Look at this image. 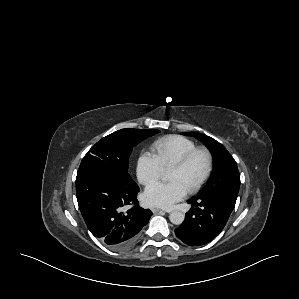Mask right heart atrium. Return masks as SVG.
Returning a JSON list of instances; mask_svg holds the SVG:
<instances>
[{
	"instance_id": "1",
	"label": "right heart atrium",
	"mask_w": 299,
	"mask_h": 299,
	"mask_svg": "<svg viewBox=\"0 0 299 299\" xmlns=\"http://www.w3.org/2000/svg\"><path fill=\"white\" fill-rule=\"evenodd\" d=\"M163 172L164 169L154 154L147 151L140 153L136 162V175L141 184L148 185L158 180Z\"/></svg>"
}]
</instances>
